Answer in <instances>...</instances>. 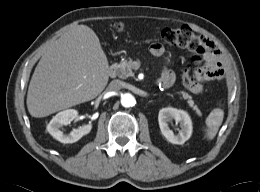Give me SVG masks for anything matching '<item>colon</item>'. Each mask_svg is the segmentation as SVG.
I'll list each match as a JSON object with an SVG mask.
<instances>
[{"label":"colon","mask_w":260,"mask_h":192,"mask_svg":"<svg viewBox=\"0 0 260 192\" xmlns=\"http://www.w3.org/2000/svg\"><path fill=\"white\" fill-rule=\"evenodd\" d=\"M112 29L120 32L123 26L119 23L111 25ZM162 39L173 46L186 48L194 54V61L200 62L201 56L210 50V44L203 37L195 34L189 27L166 28L161 32ZM194 73V72H193ZM183 84L188 90L196 89L194 75L185 70L182 76Z\"/></svg>","instance_id":"1"}]
</instances>
